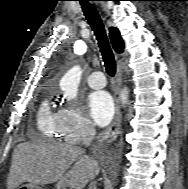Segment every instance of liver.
I'll return each instance as SVG.
<instances>
[{"label": "liver", "instance_id": "obj_1", "mask_svg": "<svg viewBox=\"0 0 188 189\" xmlns=\"http://www.w3.org/2000/svg\"><path fill=\"white\" fill-rule=\"evenodd\" d=\"M98 172L97 162L79 147L58 142L20 143L13 152L7 189L24 182L46 185L57 181L62 189H83Z\"/></svg>", "mask_w": 188, "mask_h": 189}]
</instances>
